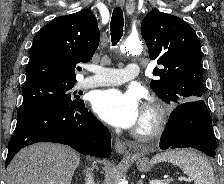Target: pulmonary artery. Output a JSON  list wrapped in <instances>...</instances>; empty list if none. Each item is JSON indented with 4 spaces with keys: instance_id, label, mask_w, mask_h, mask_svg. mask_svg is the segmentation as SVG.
Here are the masks:
<instances>
[{
    "instance_id": "obj_1",
    "label": "pulmonary artery",
    "mask_w": 224,
    "mask_h": 184,
    "mask_svg": "<svg viewBox=\"0 0 224 184\" xmlns=\"http://www.w3.org/2000/svg\"><path fill=\"white\" fill-rule=\"evenodd\" d=\"M92 76L85 77L79 83L81 88H94L109 85H118L137 78L139 67L136 63H130L126 69L106 68L91 66Z\"/></svg>"
}]
</instances>
